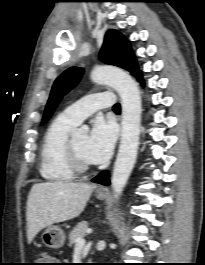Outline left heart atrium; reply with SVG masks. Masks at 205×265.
<instances>
[{"label":"left heart atrium","mask_w":205,"mask_h":265,"mask_svg":"<svg viewBox=\"0 0 205 265\" xmlns=\"http://www.w3.org/2000/svg\"><path fill=\"white\" fill-rule=\"evenodd\" d=\"M116 141V129L113 124L97 119L94 122L86 144V157L90 163L105 162L112 154Z\"/></svg>","instance_id":"39dd6f15"}]
</instances>
